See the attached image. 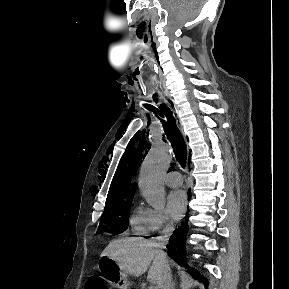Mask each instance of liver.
Masks as SVG:
<instances>
[{
	"label": "liver",
	"instance_id": "1",
	"mask_svg": "<svg viewBox=\"0 0 289 289\" xmlns=\"http://www.w3.org/2000/svg\"><path fill=\"white\" fill-rule=\"evenodd\" d=\"M101 256L112 258L121 270L137 277L149 269L147 278L156 285L162 276L163 267L159 249L142 238L114 240L109 243Z\"/></svg>",
	"mask_w": 289,
	"mask_h": 289
}]
</instances>
